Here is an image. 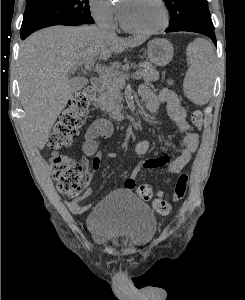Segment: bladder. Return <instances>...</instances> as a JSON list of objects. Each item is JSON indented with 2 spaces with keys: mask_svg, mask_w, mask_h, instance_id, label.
<instances>
[{
  "mask_svg": "<svg viewBox=\"0 0 245 300\" xmlns=\"http://www.w3.org/2000/svg\"><path fill=\"white\" fill-rule=\"evenodd\" d=\"M87 228L97 244L141 247L155 235L157 221L149 206L136 195L115 190L92 208Z\"/></svg>",
  "mask_w": 245,
  "mask_h": 300,
  "instance_id": "1",
  "label": "bladder"
}]
</instances>
